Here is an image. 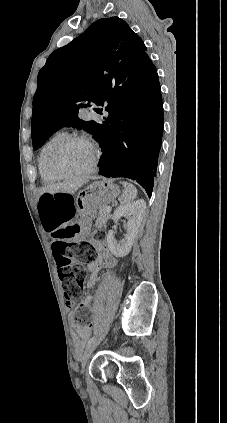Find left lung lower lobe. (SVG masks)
Here are the masks:
<instances>
[{
	"label": "left lung lower lobe",
	"mask_w": 227,
	"mask_h": 423,
	"mask_svg": "<svg viewBox=\"0 0 227 423\" xmlns=\"http://www.w3.org/2000/svg\"><path fill=\"white\" fill-rule=\"evenodd\" d=\"M127 110L108 111L97 141L103 154L100 174L136 180L151 197L163 135V103L153 71Z\"/></svg>",
	"instance_id": "obj_1"
}]
</instances>
